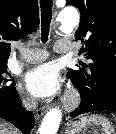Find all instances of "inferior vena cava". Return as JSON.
<instances>
[{
	"label": "inferior vena cava",
	"mask_w": 116,
	"mask_h": 134,
	"mask_svg": "<svg viewBox=\"0 0 116 134\" xmlns=\"http://www.w3.org/2000/svg\"><path fill=\"white\" fill-rule=\"evenodd\" d=\"M37 102L36 100H31L30 102H28L25 106L28 110H33L36 108Z\"/></svg>",
	"instance_id": "602c4592"
}]
</instances>
